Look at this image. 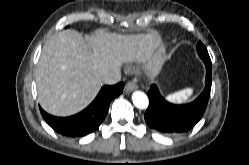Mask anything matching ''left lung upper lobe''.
Returning <instances> with one entry per match:
<instances>
[{
    "instance_id": "obj_1",
    "label": "left lung upper lobe",
    "mask_w": 249,
    "mask_h": 165,
    "mask_svg": "<svg viewBox=\"0 0 249 165\" xmlns=\"http://www.w3.org/2000/svg\"><path fill=\"white\" fill-rule=\"evenodd\" d=\"M196 49H197L198 55L204 61V63H211L209 54H208L205 46L202 44V42H200V41L198 42Z\"/></svg>"
}]
</instances>
